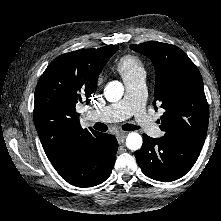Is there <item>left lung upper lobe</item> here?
Returning <instances> with one entry per match:
<instances>
[{
	"label": "left lung upper lobe",
	"mask_w": 221,
	"mask_h": 221,
	"mask_svg": "<svg viewBox=\"0 0 221 221\" xmlns=\"http://www.w3.org/2000/svg\"><path fill=\"white\" fill-rule=\"evenodd\" d=\"M131 49L147 56L154 64L156 84L153 105L165 109L159 121L164 136L202 149L209 108L196 65L180 48L166 43L149 41L131 45Z\"/></svg>",
	"instance_id": "5c2ea615"
}]
</instances>
